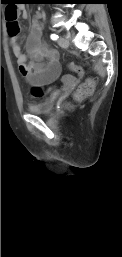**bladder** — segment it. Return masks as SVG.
<instances>
[{"label": "bladder", "mask_w": 122, "mask_h": 257, "mask_svg": "<svg viewBox=\"0 0 122 257\" xmlns=\"http://www.w3.org/2000/svg\"><path fill=\"white\" fill-rule=\"evenodd\" d=\"M54 98L50 97L39 102L33 103L28 110L33 114L44 115L51 112L53 108Z\"/></svg>", "instance_id": "31cf9c89"}]
</instances>
